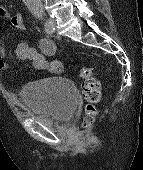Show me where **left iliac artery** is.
Segmentation results:
<instances>
[{"instance_id": "44dca946", "label": "left iliac artery", "mask_w": 143, "mask_h": 170, "mask_svg": "<svg viewBox=\"0 0 143 170\" xmlns=\"http://www.w3.org/2000/svg\"><path fill=\"white\" fill-rule=\"evenodd\" d=\"M38 18L42 20V19H43V15H42V14H38ZM47 25H48L47 22H45V27H46ZM49 32H50V31H49ZM52 32H53V31H52Z\"/></svg>"}]
</instances>
